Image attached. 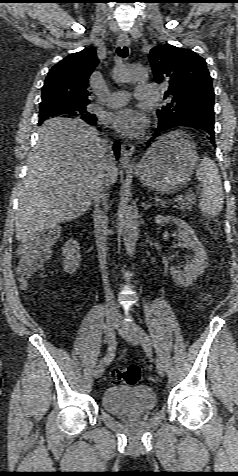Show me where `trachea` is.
Instances as JSON below:
<instances>
[{
  "mask_svg": "<svg viewBox=\"0 0 238 476\" xmlns=\"http://www.w3.org/2000/svg\"><path fill=\"white\" fill-rule=\"evenodd\" d=\"M117 54L122 58H126L128 56V48L125 46L123 48H117Z\"/></svg>",
  "mask_w": 238,
  "mask_h": 476,
  "instance_id": "3493384b",
  "label": "trachea"
}]
</instances>
